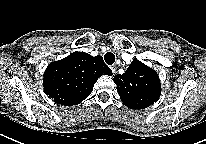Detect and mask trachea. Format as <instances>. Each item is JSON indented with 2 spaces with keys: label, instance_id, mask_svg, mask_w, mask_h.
Instances as JSON below:
<instances>
[{
  "label": "trachea",
  "instance_id": "3493384b",
  "mask_svg": "<svg viewBox=\"0 0 206 144\" xmlns=\"http://www.w3.org/2000/svg\"><path fill=\"white\" fill-rule=\"evenodd\" d=\"M104 60L108 65H112L115 62V55L111 52H107L104 55Z\"/></svg>",
  "mask_w": 206,
  "mask_h": 144
}]
</instances>
